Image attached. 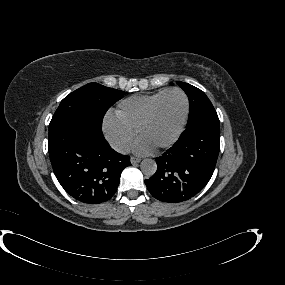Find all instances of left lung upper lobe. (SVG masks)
Listing matches in <instances>:
<instances>
[{"instance_id": "left-lung-upper-lobe-1", "label": "left lung upper lobe", "mask_w": 285, "mask_h": 285, "mask_svg": "<svg viewBox=\"0 0 285 285\" xmlns=\"http://www.w3.org/2000/svg\"><path fill=\"white\" fill-rule=\"evenodd\" d=\"M177 84L187 93L189 97L190 112L188 125L205 114L216 112L212 103L203 91L188 83L178 81Z\"/></svg>"}]
</instances>
